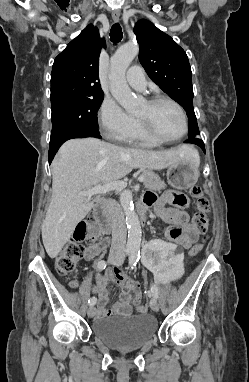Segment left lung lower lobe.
Returning a JSON list of instances; mask_svg holds the SVG:
<instances>
[{"mask_svg":"<svg viewBox=\"0 0 249 382\" xmlns=\"http://www.w3.org/2000/svg\"><path fill=\"white\" fill-rule=\"evenodd\" d=\"M185 143H193V144H196L198 146H200L202 148V150L204 151L205 153V147H204V143L201 139H199L198 137H194V138H189L188 140L185 141Z\"/></svg>","mask_w":249,"mask_h":382,"instance_id":"obj_1","label":"left lung lower lobe"}]
</instances>
